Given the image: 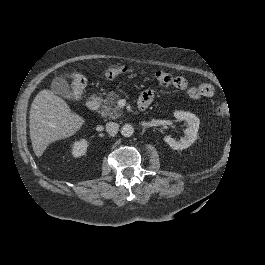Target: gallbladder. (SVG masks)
I'll return each instance as SVG.
<instances>
[{
    "label": "gallbladder",
    "mask_w": 265,
    "mask_h": 265,
    "mask_svg": "<svg viewBox=\"0 0 265 265\" xmlns=\"http://www.w3.org/2000/svg\"><path fill=\"white\" fill-rule=\"evenodd\" d=\"M51 88L55 94L70 100H75L73 92L70 91L69 84L63 77L54 78L51 83Z\"/></svg>",
    "instance_id": "gallbladder-1"
}]
</instances>
